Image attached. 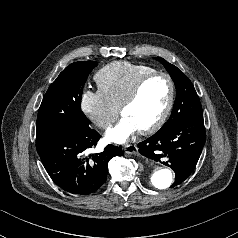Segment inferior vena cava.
<instances>
[{
	"label": "inferior vena cava",
	"mask_w": 238,
	"mask_h": 238,
	"mask_svg": "<svg viewBox=\"0 0 238 238\" xmlns=\"http://www.w3.org/2000/svg\"><path fill=\"white\" fill-rule=\"evenodd\" d=\"M101 125H106L107 123L106 122H104V121H101V123H100Z\"/></svg>",
	"instance_id": "602c4592"
}]
</instances>
